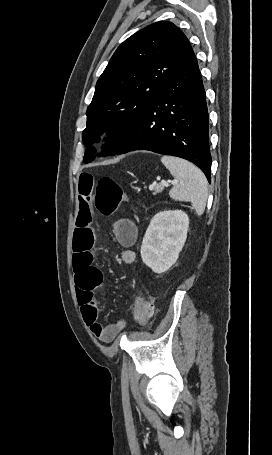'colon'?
<instances>
[{"label": "colon", "instance_id": "obj_1", "mask_svg": "<svg viewBox=\"0 0 272 455\" xmlns=\"http://www.w3.org/2000/svg\"><path fill=\"white\" fill-rule=\"evenodd\" d=\"M120 185L110 177L100 178L95 187V207L103 216L113 215L119 205L126 201ZM153 315V305L140 293L135 300L134 316L136 321L145 326Z\"/></svg>", "mask_w": 272, "mask_h": 455}]
</instances>
